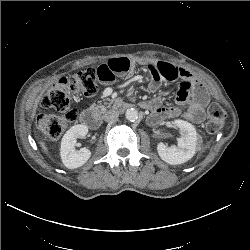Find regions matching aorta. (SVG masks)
<instances>
[{
  "label": "aorta",
  "mask_w": 250,
  "mask_h": 250,
  "mask_svg": "<svg viewBox=\"0 0 250 250\" xmlns=\"http://www.w3.org/2000/svg\"><path fill=\"white\" fill-rule=\"evenodd\" d=\"M125 117L127 120L134 122L138 119V111L134 108L127 109Z\"/></svg>",
  "instance_id": "762f6f07"
}]
</instances>
